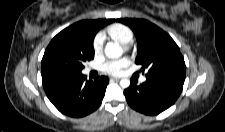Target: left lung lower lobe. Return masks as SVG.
Instances as JSON below:
<instances>
[{
    "label": "left lung lower lobe",
    "mask_w": 225,
    "mask_h": 132,
    "mask_svg": "<svg viewBox=\"0 0 225 132\" xmlns=\"http://www.w3.org/2000/svg\"><path fill=\"white\" fill-rule=\"evenodd\" d=\"M185 79L146 77V81L137 85L131 79V85L124 90L128 104L146 115H157L169 108L182 92Z\"/></svg>",
    "instance_id": "obj_1"
}]
</instances>
